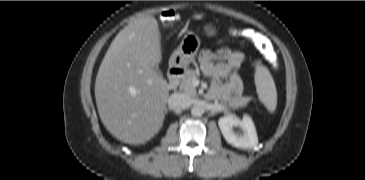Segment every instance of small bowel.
<instances>
[{"instance_id": "obj_1", "label": "small bowel", "mask_w": 365, "mask_h": 180, "mask_svg": "<svg viewBox=\"0 0 365 180\" xmlns=\"http://www.w3.org/2000/svg\"><path fill=\"white\" fill-rule=\"evenodd\" d=\"M246 55L240 51L222 48L217 52L202 51L199 63L203 73L210 79L211 95L234 99L242 93V81L237 69L245 62Z\"/></svg>"}]
</instances>
